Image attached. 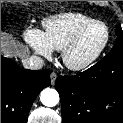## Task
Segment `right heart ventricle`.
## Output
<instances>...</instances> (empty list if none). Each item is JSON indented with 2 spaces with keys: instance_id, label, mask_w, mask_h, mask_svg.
<instances>
[{
  "instance_id": "obj_1",
  "label": "right heart ventricle",
  "mask_w": 123,
  "mask_h": 123,
  "mask_svg": "<svg viewBox=\"0 0 123 123\" xmlns=\"http://www.w3.org/2000/svg\"><path fill=\"white\" fill-rule=\"evenodd\" d=\"M93 21L81 13H61L44 19L42 32L52 50L62 51L82 27Z\"/></svg>"
}]
</instances>
